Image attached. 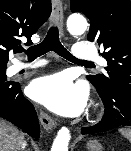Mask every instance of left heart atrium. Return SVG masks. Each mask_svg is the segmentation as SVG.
Instances as JSON below:
<instances>
[{
  "instance_id": "1",
  "label": "left heart atrium",
  "mask_w": 131,
  "mask_h": 151,
  "mask_svg": "<svg viewBox=\"0 0 131 151\" xmlns=\"http://www.w3.org/2000/svg\"><path fill=\"white\" fill-rule=\"evenodd\" d=\"M28 94L33 100L61 115L80 113L87 99L85 87L74 83L63 73L34 80L28 87Z\"/></svg>"
}]
</instances>
